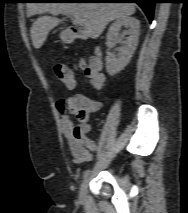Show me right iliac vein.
I'll return each mask as SVG.
<instances>
[{
  "label": "right iliac vein",
  "mask_w": 188,
  "mask_h": 213,
  "mask_svg": "<svg viewBox=\"0 0 188 213\" xmlns=\"http://www.w3.org/2000/svg\"><path fill=\"white\" fill-rule=\"evenodd\" d=\"M88 181H89V178L86 177L81 184L80 191H79V198L81 200H84L85 197H86L87 188H88Z\"/></svg>",
  "instance_id": "obj_1"
}]
</instances>
